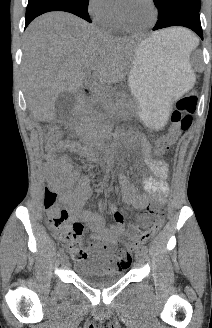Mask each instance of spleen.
Wrapping results in <instances>:
<instances>
[{"label": "spleen", "mask_w": 212, "mask_h": 328, "mask_svg": "<svg viewBox=\"0 0 212 328\" xmlns=\"http://www.w3.org/2000/svg\"><path fill=\"white\" fill-rule=\"evenodd\" d=\"M180 29V28H178ZM182 32L177 39L179 47L184 51V53L189 57L193 49H195L198 44V38L190 31L185 29H180Z\"/></svg>", "instance_id": "1"}]
</instances>
